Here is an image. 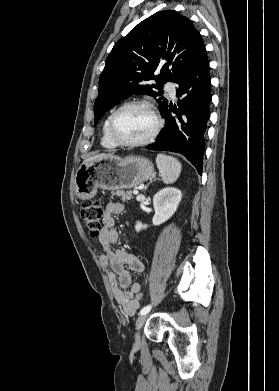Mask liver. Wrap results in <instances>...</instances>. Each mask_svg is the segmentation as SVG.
Wrapping results in <instances>:
<instances>
[{"instance_id": "obj_1", "label": "liver", "mask_w": 279, "mask_h": 391, "mask_svg": "<svg viewBox=\"0 0 279 391\" xmlns=\"http://www.w3.org/2000/svg\"><path fill=\"white\" fill-rule=\"evenodd\" d=\"M110 157H113V154H105V153L98 154V155L91 156V157L85 159L83 161V164L94 161V160L106 159V158H110Z\"/></svg>"}]
</instances>
